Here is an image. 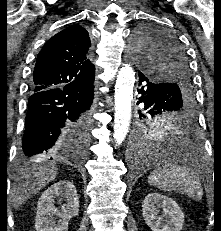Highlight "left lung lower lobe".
<instances>
[{
	"instance_id": "1",
	"label": "left lung lower lobe",
	"mask_w": 221,
	"mask_h": 231,
	"mask_svg": "<svg viewBox=\"0 0 221 231\" xmlns=\"http://www.w3.org/2000/svg\"><path fill=\"white\" fill-rule=\"evenodd\" d=\"M139 73V85L147 82L145 86L139 88V101L137 104L153 100L161 92L166 90L163 84L150 82L148 78ZM178 128H172L141 145L138 138L134 139L131 150L132 157H138L143 161H153L159 159L162 154L169 152L170 158L182 165H191L193 162L194 152L200 150V140L197 134V123L193 117H186L177 123ZM191 154V155H190Z\"/></svg>"
}]
</instances>
